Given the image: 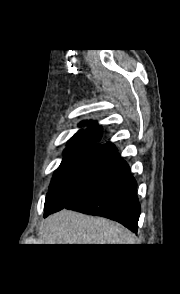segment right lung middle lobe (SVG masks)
<instances>
[{"instance_id":"right-lung-middle-lobe-1","label":"right lung middle lobe","mask_w":180,"mask_h":294,"mask_svg":"<svg viewBox=\"0 0 180 294\" xmlns=\"http://www.w3.org/2000/svg\"><path fill=\"white\" fill-rule=\"evenodd\" d=\"M98 144L78 143L68 144L64 151V158L62 163L55 171L50 187L49 193L46 196V208L53 199L68 186L85 162L93 155L98 149Z\"/></svg>"}]
</instances>
